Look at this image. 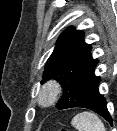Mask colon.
Returning a JSON list of instances; mask_svg holds the SVG:
<instances>
[{
    "label": "colon",
    "mask_w": 117,
    "mask_h": 131,
    "mask_svg": "<svg viewBox=\"0 0 117 131\" xmlns=\"http://www.w3.org/2000/svg\"><path fill=\"white\" fill-rule=\"evenodd\" d=\"M56 131H68L66 128H59Z\"/></svg>",
    "instance_id": "colon-1"
}]
</instances>
